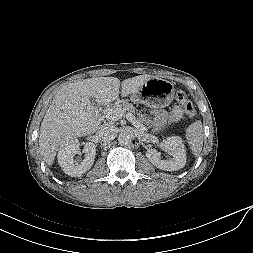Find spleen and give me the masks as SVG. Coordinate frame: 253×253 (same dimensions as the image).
<instances>
[{"label":"spleen","instance_id":"3e777b00","mask_svg":"<svg viewBox=\"0 0 253 253\" xmlns=\"http://www.w3.org/2000/svg\"><path fill=\"white\" fill-rule=\"evenodd\" d=\"M186 139L193 154L197 157L203 146V126L200 120L190 124L186 129Z\"/></svg>","mask_w":253,"mask_h":253}]
</instances>
